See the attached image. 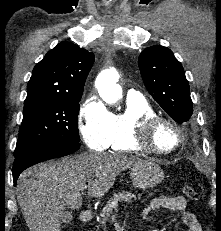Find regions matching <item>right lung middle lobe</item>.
Masks as SVG:
<instances>
[{
  "mask_svg": "<svg viewBox=\"0 0 221 231\" xmlns=\"http://www.w3.org/2000/svg\"><path fill=\"white\" fill-rule=\"evenodd\" d=\"M79 98L41 99L25 102L14 156L42 144L79 146Z\"/></svg>",
  "mask_w": 221,
  "mask_h": 231,
  "instance_id": "right-lung-middle-lobe-1",
  "label": "right lung middle lobe"
}]
</instances>
